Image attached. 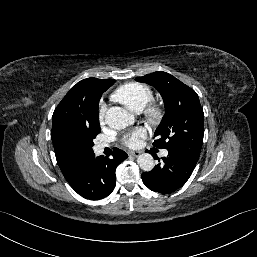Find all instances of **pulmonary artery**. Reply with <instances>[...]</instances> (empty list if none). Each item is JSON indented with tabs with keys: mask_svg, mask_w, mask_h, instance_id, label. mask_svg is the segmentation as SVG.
<instances>
[{
	"mask_svg": "<svg viewBox=\"0 0 257 257\" xmlns=\"http://www.w3.org/2000/svg\"><path fill=\"white\" fill-rule=\"evenodd\" d=\"M107 145L105 143H98L96 145V151L101 152ZM168 154L167 150L162 151V155L166 156Z\"/></svg>",
	"mask_w": 257,
	"mask_h": 257,
	"instance_id": "e3ab8cb5",
	"label": "pulmonary artery"
}]
</instances>
